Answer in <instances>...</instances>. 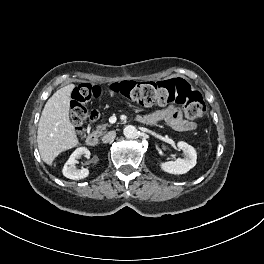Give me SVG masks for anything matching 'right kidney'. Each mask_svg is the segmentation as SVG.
Segmentation results:
<instances>
[{"label": "right kidney", "instance_id": "1", "mask_svg": "<svg viewBox=\"0 0 264 264\" xmlns=\"http://www.w3.org/2000/svg\"><path fill=\"white\" fill-rule=\"evenodd\" d=\"M85 155L87 158L90 157V151L86 147H79L77 148L69 157L67 162L63 167V175L66 178L72 180H80L88 177L89 170L87 168L78 169L76 164L78 163V159Z\"/></svg>", "mask_w": 264, "mask_h": 264}]
</instances>
